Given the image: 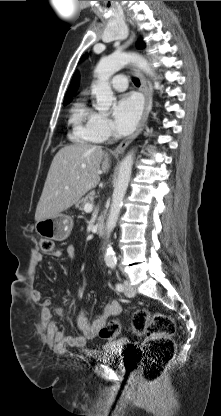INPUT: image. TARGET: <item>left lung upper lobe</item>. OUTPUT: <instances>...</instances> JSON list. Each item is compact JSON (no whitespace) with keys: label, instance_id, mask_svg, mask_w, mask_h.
<instances>
[{"label":"left lung upper lobe","instance_id":"obj_1","mask_svg":"<svg viewBox=\"0 0 221 416\" xmlns=\"http://www.w3.org/2000/svg\"><path fill=\"white\" fill-rule=\"evenodd\" d=\"M136 46L137 48L142 49L145 46V44L143 43L142 40H138V42L136 43Z\"/></svg>","mask_w":221,"mask_h":416}]
</instances>
